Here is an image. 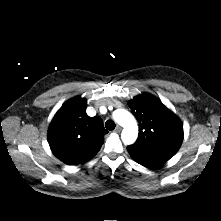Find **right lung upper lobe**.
<instances>
[{"instance_id":"obj_1","label":"right lung upper lobe","mask_w":221,"mask_h":221,"mask_svg":"<svg viewBox=\"0 0 221 221\" xmlns=\"http://www.w3.org/2000/svg\"><path fill=\"white\" fill-rule=\"evenodd\" d=\"M87 101L74 97L55 114L48 130L52 153L68 165L83 164L100 150L108 133L100 117L86 114Z\"/></svg>"}]
</instances>
